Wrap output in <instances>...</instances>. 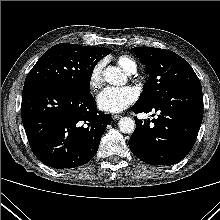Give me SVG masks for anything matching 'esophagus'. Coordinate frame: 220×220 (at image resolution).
Segmentation results:
<instances>
[{"mask_svg": "<svg viewBox=\"0 0 220 220\" xmlns=\"http://www.w3.org/2000/svg\"><path fill=\"white\" fill-rule=\"evenodd\" d=\"M120 118H121V116L118 115V114H113V115H112V119H113V120H119Z\"/></svg>", "mask_w": 220, "mask_h": 220, "instance_id": "obj_1", "label": "esophagus"}]
</instances>
